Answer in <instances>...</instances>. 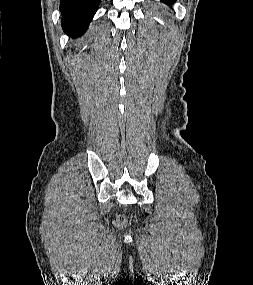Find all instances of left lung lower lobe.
<instances>
[{
  "instance_id": "left-lung-lower-lobe-1",
  "label": "left lung lower lobe",
  "mask_w": 253,
  "mask_h": 285,
  "mask_svg": "<svg viewBox=\"0 0 253 285\" xmlns=\"http://www.w3.org/2000/svg\"><path fill=\"white\" fill-rule=\"evenodd\" d=\"M162 1H164L165 3H168V4H172V3H174L176 0H162Z\"/></svg>"
}]
</instances>
